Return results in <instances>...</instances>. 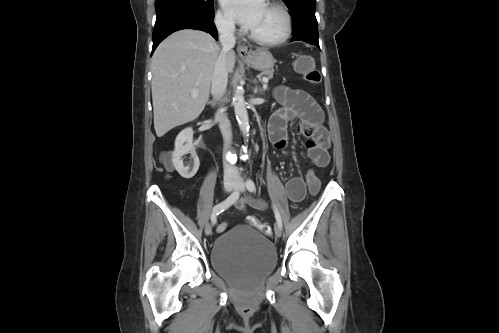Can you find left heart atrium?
Returning a JSON list of instances; mask_svg holds the SVG:
<instances>
[{
  "label": "left heart atrium",
  "instance_id": "obj_1",
  "mask_svg": "<svg viewBox=\"0 0 499 333\" xmlns=\"http://www.w3.org/2000/svg\"><path fill=\"white\" fill-rule=\"evenodd\" d=\"M228 16L251 29L266 7L264 0H220Z\"/></svg>",
  "mask_w": 499,
  "mask_h": 333
}]
</instances>
